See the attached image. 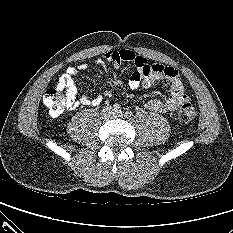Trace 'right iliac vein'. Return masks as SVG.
Segmentation results:
<instances>
[{"mask_svg":"<svg viewBox=\"0 0 233 233\" xmlns=\"http://www.w3.org/2000/svg\"><path fill=\"white\" fill-rule=\"evenodd\" d=\"M104 115H105V116H110V115H111V110L107 108V109L104 111Z\"/></svg>","mask_w":233,"mask_h":233,"instance_id":"right-iliac-vein-1","label":"right iliac vein"}]
</instances>
